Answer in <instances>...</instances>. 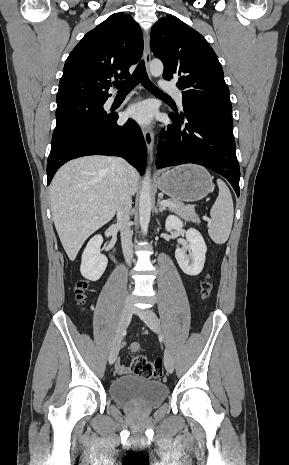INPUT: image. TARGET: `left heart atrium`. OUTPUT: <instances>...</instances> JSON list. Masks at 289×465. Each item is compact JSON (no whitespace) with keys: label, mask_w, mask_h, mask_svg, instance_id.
<instances>
[{"label":"left heart atrium","mask_w":289,"mask_h":465,"mask_svg":"<svg viewBox=\"0 0 289 465\" xmlns=\"http://www.w3.org/2000/svg\"><path fill=\"white\" fill-rule=\"evenodd\" d=\"M154 114V108L149 102H139L131 105L127 111L126 116L139 124L147 125L151 122Z\"/></svg>","instance_id":"39dd6f15"}]
</instances>
